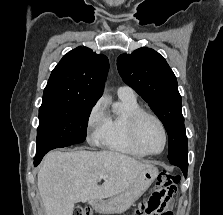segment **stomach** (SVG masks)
I'll return each instance as SVG.
<instances>
[{
    "label": "stomach",
    "instance_id": "obj_1",
    "mask_svg": "<svg viewBox=\"0 0 223 215\" xmlns=\"http://www.w3.org/2000/svg\"><path fill=\"white\" fill-rule=\"evenodd\" d=\"M158 173L157 167H153V165H151V167H145V169H142V171L138 173L134 183L126 189L128 191L126 194L122 191V193L116 195L119 201L116 199H109L107 202L94 201V209L99 211V213H121V211H126V209L152 185Z\"/></svg>",
    "mask_w": 223,
    "mask_h": 215
}]
</instances>
